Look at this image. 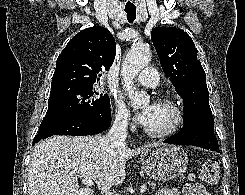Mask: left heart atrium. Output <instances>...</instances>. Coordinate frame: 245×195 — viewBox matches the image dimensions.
I'll list each match as a JSON object with an SVG mask.
<instances>
[{
	"instance_id": "1",
	"label": "left heart atrium",
	"mask_w": 245,
	"mask_h": 195,
	"mask_svg": "<svg viewBox=\"0 0 245 195\" xmlns=\"http://www.w3.org/2000/svg\"><path fill=\"white\" fill-rule=\"evenodd\" d=\"M155 104L151 103L137 113V120L142 125H146L152 115Z\"/></svg>"
}]
</instances>
